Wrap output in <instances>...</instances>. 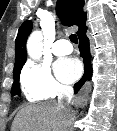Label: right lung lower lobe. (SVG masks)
<instances>
[{
	"mask_svg": "<svg viewBox=\"0 0 117 131\" xmlns=\"http://www.w3.org/2000/svg\"><path fill=\"white\" fill-rule=\"evenodd\" d=\"M79 49L81 56L84 59L85 71L83 77L74 85V92L77 93L78 90L83 86V84L91 78L92 68L90 64V47H89V39L86 36V32L80 34L79 36Z\"/></svg>",
	"mask_w": 117,
	"mask_h": 131,
	"instance_id": "98d812e1",
	"label": "right lung lower lobe"
}]
</instances>
